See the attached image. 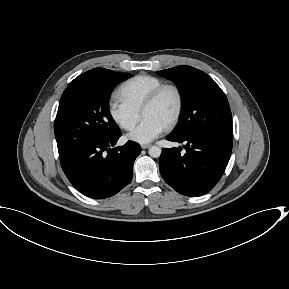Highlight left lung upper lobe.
<instances>
[{"instance_id":"1","label":"left lung upper lobe","mask_w":289,"mask_h":289,"mask_svg":"<svg viewBox=\"0 0 289 289\" xmlns=\"http://www.w3.org/2000/svg\"><path fill=\"white\" fill-rule=\"evenodd\" d=\"M174 81L183 102V115L175 135L205 133L232 135V116L228 100L206 73L194 67L181 65L157 72Z\"/></svg>"}]
</instances>
